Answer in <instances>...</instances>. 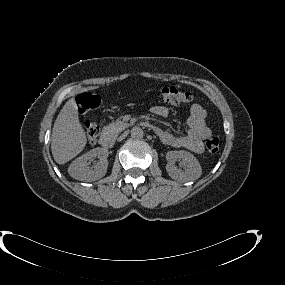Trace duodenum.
<instances>
[{
	"instance_id": "obj_1",
	"label": "duodenum",
	"mask_w": 285,
	"mask_h": 285,
	"mask_svg": "<svg viewBox=\"0 0 285 285\" xmlns=\"http://www.w3.org/2000/svg\"><path fill=\"white\" fill-rule=\"evenodd\" d=\"M147 124L149 125V123H147ZM113 141H114V137L109 132H103L100 135L99 142L105 148L111 147L113 145Z\"/></svg>"
}]
</instances>
